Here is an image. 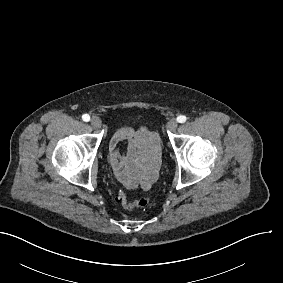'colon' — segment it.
Returning <instances> with one entry per match:
<instances>
[{
    "mask_svg": "<svg viewBox=\"0 0 283 283\" xmlns=\"http://www.w3.org/2000/svg\"><path fill=\"white\" fill-rule=\"evenodd\" d=\"M150 203V199L146 196L138 197L132 202L127 203V208L132 209V208H146Z\"/></svg>",
    "mask_w": 283,
    "mask_h": 283,
    "instance_id": "obj_1",
    "label": "colon"
}]
</instances>
